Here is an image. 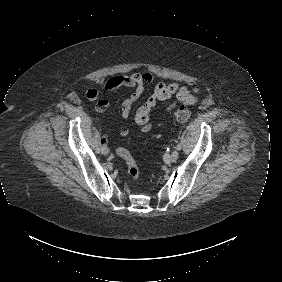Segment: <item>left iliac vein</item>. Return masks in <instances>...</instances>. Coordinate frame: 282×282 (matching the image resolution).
<instances>
[{
	"instance_id": "obj_1",
	"label": "left iliac vein",
	"mask_w": 282,
	"mask_h": 282,
	"mask_svg": "<svg viewBox=\"0 0 282 282\" xmlns=\"http://www.w3.org/2000/svg\"><path fill=\"white\" fill-rule=\"evenodd\" d=\"M179 157V153L177 150H174L171 155L169 156V161L175 162Z\"/></svg>"
}]
</instances>
